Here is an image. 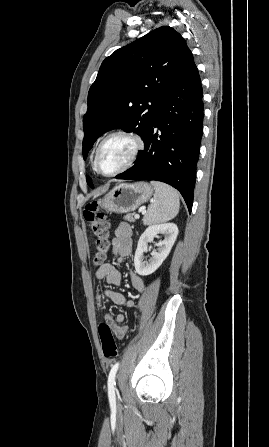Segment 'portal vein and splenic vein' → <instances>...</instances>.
<instances>
[{"label":"portal vein and splenic vein","instance_id":"obj_1","mask_svg":"<svg viewBox=\"0 0 269 447\" xmlns=\"http://www.w3.org/2000/svg\"><path fill=\"white\" fill-rule=\"evenodd\" d=\"M142 214H144V212H142ZM135 220H139L140 216L139 214H136V216H134Z\"/></svg>","mask_w":269,"mask_h":447}]
</instances>
